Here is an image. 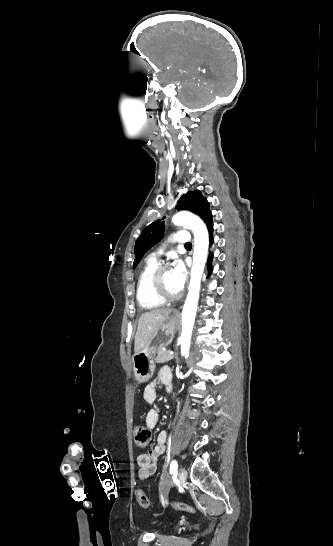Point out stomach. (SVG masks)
Masks as SVG:
<instances>
[{
    "label": "stomach",
    "instance_id": "0dacf381",
    "mask_svg": "<svg viewBox=\"0 0 333 546\" xmlns=\"http://www.w3.org/2000/svg\"><path fill=\"white\" fill-rule=\"evenodd\" d=\"M177 323V319L174 317L168 318V320L158 328L148 344L141 351L132 356V369L135 379L138 382H146L153 376L155 370L154 355L160 351L162 347L167 346L172 342Z\"/></svg>",
    "mask_w": 333,
    "mask_h": 546
}]
</instances>
